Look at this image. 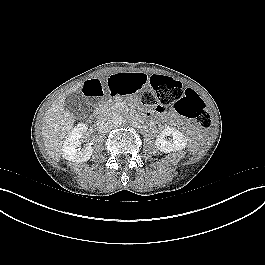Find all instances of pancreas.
<instances>
[{
    "mask_svg": "<svg viewBox=\"0 0 265 265\" xmlns=\"http://www.w3.org/2000/svg\"><path fill=\"white\" fill-rule=\"evenodd\" d=\"M112 110H113V109H112V104L109 103V102H106V103L102 104V105L97 109V112H98V114H100V115H104V116H106V115H109V114L111 113Z\"/></svg>",
    "mask_w": 265,
    "mask_h": 265,
    "instance_id": "pancreas-1",
    "label": "pancreas"
}]
</instances>
